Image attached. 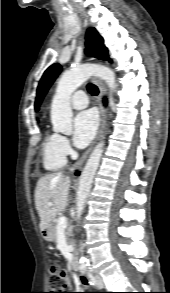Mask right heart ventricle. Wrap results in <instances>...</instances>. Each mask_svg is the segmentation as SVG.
<instances>
[{"label":"right heart ventricle","instance_id":"right-heart-ventricle-1","mask_svg":"<svg viewBox=\"0 0 170 293\" xmlns=\"http://www.w3.org/2000/svg\"><path fill=\"white\" fill-rule=\"evenodd\" d=\"M42 163L47 171H57L66 163L64 155L58 146V134L46 131L42 142Z\"/></svg>","mask_w":170,"mask_h":293}]
</instances>
